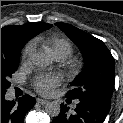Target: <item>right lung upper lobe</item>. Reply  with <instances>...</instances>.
I'll return each instance as SVG.
<instances>
[{
    "label": "right lung upper lobe",
    "mask_w": 123,
    "mask_h": 123,
    "mask_svg": "<svg viewBox=\"0 0 123 123\" xmlns=\"http://www.w3.org/2000/svg\"><path fill=\"white\" fill-rule=\"evenodd\" d=\"M50 27H52L51 24L35 22L1 28V55L13 56L19 54L23 46L32 37Z\"/></svg>",
    "instance_id": "1"
}]
</instances>
